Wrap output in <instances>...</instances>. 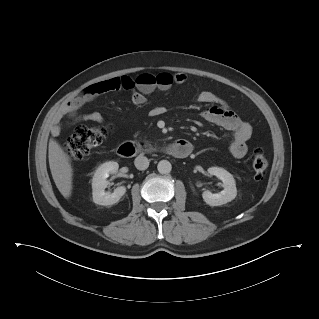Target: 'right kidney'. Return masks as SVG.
<instances>
[{
  "mask_svg": "<svg viewBox=\"0 0 319 319\" xmlns=\"http://www.w3.org/2000/svg\"><path fill=\"white\" fill-rule=\"evenodd\" d=\"M119 165L117 162L109 161L103 163L96 170L92 179V195L93 201L99 205H113L117 203L120 198L125 194L126 188L124 186L118 187L112 194L105 193V188L108 185L106 180L109 174L117 173Z\"/></svg>",
  "mask_w": 319,
  "mask_h": 319,
  "instance_id": "ca27d5eb",
  "label": "right kidney"
}]
</instances>
